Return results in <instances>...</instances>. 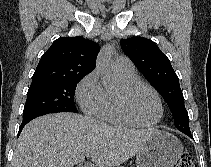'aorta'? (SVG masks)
Instances as JSON below:
<instances>
[{"instance_id":"762f6f07","label":"aorta","mask_w":211,"mask_h":167,"mask_svg":"<svg viewBox=\"0 0 211 167\" xmlns=\"http://www.w3.org/2000/svg\"><path fill=\"white\" fill-rule=\"evenodd\" d=\"M113 54V48L111 46L103 47L98 55L96 68L103 75V86L105 89H110L113 85L110 75V59Z\"/></svg>"}]
</instances>
